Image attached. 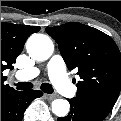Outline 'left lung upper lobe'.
<instances>
[{
  "instance_id": "obj_1",
  "label": "left lung upper lobe",
  "mask_w": 121,
  "mask_h": 121,
  "mask_svg": "<svg viewBox=\"0 0 121 121\" xmlns=\"http://www.w3.org/2000/svg\"><path fill=\"white\" fill-rule=\"evenodd\" d=\"M46 31L58 43L68 68L78 70L81 81L73 99L107 116L121 89V55L115 42L100 30L76 22Z\"/></svg>"
}]
</instances>
